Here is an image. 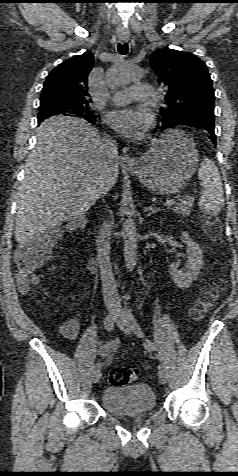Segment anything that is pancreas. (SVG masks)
I'll return each instance as SVG.
<instances>
[{
    "label": "pancreas",
    "mask_w": 238,
    "mask_h": 476,
    "mask_svg": "<svg viewBox=\"0 0 238 476\" xmlns=\"http://www.w3.org/2000/svg\"><path fill=\"white\" fill-rule=\"evenodd\" d=\"M195 198L193 196H185L179 199L178 202L172 204L171 209L180 215L188 216L190 215L191 207L194 203Z\"/></svg>",
    "instance_id": "obj_1"
}]
</instances>
